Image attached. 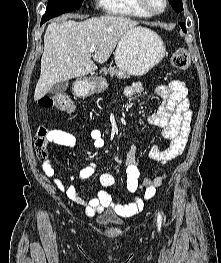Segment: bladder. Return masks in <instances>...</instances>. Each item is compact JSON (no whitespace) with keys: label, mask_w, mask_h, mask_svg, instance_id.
<instances>
[{"label":"bladder","mask_w":221,"mask_h":263,"mask_svg":"<svg viewBox=\"0 0 221 263\" xmlns=\"http://www.w3.org/2000/svg\"><path fill=\"white\" fill-rule=\"evenodd\" d=\"M98 221L102 224H120L122 221L114 215H103L98 218Z\"/></svg>","instance_id":"bladder-1"}]
</instances>
